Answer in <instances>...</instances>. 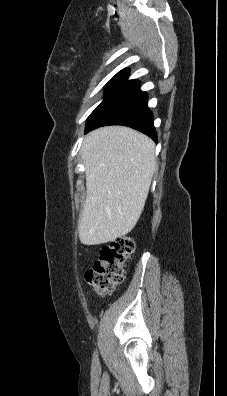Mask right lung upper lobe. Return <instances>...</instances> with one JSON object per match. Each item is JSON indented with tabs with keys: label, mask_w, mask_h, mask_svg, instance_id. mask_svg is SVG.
<instances>
[{
	"label": "right lung upper lobe",
	"mask_w": 227,
	"mask_h": 396,
	"mask_svg": "<svg viewBox=\"0 0 227 396\" xmlns=\"http://www.w3.org/2000/svg\"><path fill=\"white\" fill-rule=\"evenodd\" d=\"M122 71H129V69L128 68H125L124 70H122Z\"/></svg>",
	"instance_id": "obj_1"
}]
</instances>
